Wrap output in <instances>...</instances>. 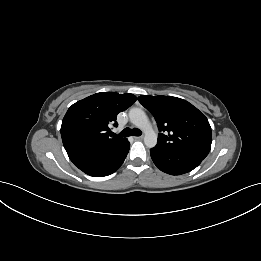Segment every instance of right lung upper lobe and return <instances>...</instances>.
I'll return each mask as SVG.
<instances>
[{
	"label": "right lung upper lobe",
	"instance_id": "obj_1",
	"mask_svg": "<svg viewBox=\"0 0 261 261\" xmlns=\"http://www.w3.org/2000/svg\"><path fill=\"white\" fill-rule=\"evenodd\" d=\"M136 99L130 93L101 92L74 103L61 125L65 149L83 145H116L125 141L126 138L110 137L109 126H117V115Z\"/></svg>",
	"mask_w": 261,
	"mask_h": 261
}]
</instances>
